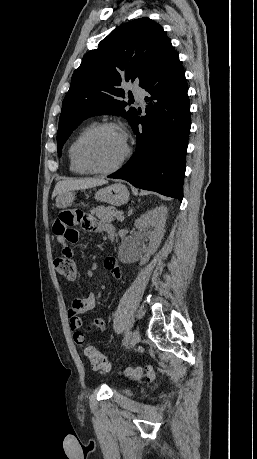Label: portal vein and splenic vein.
Wrapping results in <instances>:
<instances>
[{
	"instance_id": "obj_1",
	"label": "portal vein and splenic vein",
	"mask_w": 257,
	"mask_h": 459,
	"mask_svg": "<svg viewBox=\"0 0 257 459\" xmlns=\"http://www.w3.org/2000/svg\"><path fill=\"white\" fill-rule=\"evenodd\" d=\"M117 219H118V220H123V219H124V217H123V215H122V214H119V215L117 216Z\"/></svg>"
}]
</instances>
